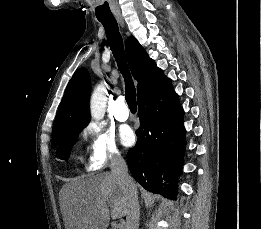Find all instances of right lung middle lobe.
Segmentation results:
<instances>
[{
    "label": "right lung middle lobe",
    "instance_id": "right-lung-middle-lobe-1",
    "mask_svg": "<svg viewBox=\"0 0 261 229\" xmlns=\"http://www.w3.org/2000/svg\"><path fill=\"white\" fill-rule=\"evenodd\" d=\"M86 125L65 126L59 129L63 142L57 148V158L67 160L74 141Z\"/></svg>",
    "mask_w": 261,
    "mask_h": 229
}]
</instances>
